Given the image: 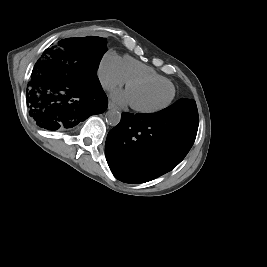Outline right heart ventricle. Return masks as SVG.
Returning <instances> with one entry per match:
<instances>
[{
	"instance_id": "1",
	"label": "right heart ventricle",
	"mask_w": 267,
	"mask_h": 267,
	"mask_svg": "<svg viewBox=\"0 0 267 267\" xmlns=\"http://www.w3.org/2000/svg\"><path fill=\"white\" fill-rule=\"evenodd\" d=\"M121 66L126 81L135 77H150L164 83H171L166 77L159 74L152 67L143 64L129 56H124L122 58Z\"/></svg>"
}]
</instances>
